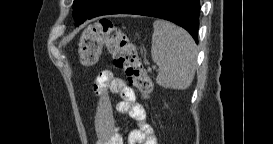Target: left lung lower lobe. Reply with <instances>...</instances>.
Wrapping results in <instances>:
<instances>
[{
	"instance_id": "1",
	"label": "left lung lower lobe",
	"mask_w": 273,
	"mask_h": 144,
	"mask_svg": "<svg viewBox=\"0 0 273 144\" xmlns=\"http://www.w3.org/2000/svg\"><path fill=\"white\" fill-rule=\"evenodd\" d=\"M73 13L75 25L109 14H137L166 19L186 29L198 43L199 0H96ZM85 1V2H84Z\"/></svg>"
}]
</instances>
